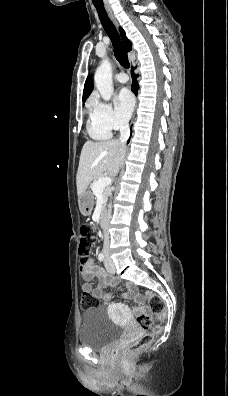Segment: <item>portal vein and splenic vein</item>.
<instances>
[{
    "label": "portal vein and splenic vein",
    "instance_id": "1",
    "mask_svg": "<svg viewBox=\"0 0 228 396\" xmlns=\"http://www.w3.org/2000/svg\"><path fill=\"white\" fill-rule=\"evenodd\" d=\"M112 180L110 177H102L99 178L93 187V192L98 193L101 192L105 187L111 184Z\"/></svg>",
    "mask_w": 228,
    "mask_h": 396
}]
</instances>
